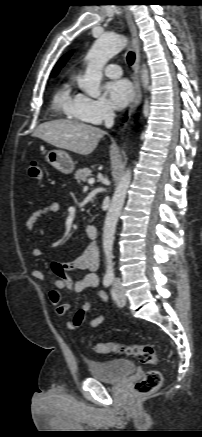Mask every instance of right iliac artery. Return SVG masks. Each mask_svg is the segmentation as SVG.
Here are the masks:
<instances>
[{"label": "right iliac artery", "instance_id": "obj_1", "mask_svg": "<svg viewBox=\"0 0 202 437\" xmlns=\"http://www.w3.org/2000/svg\"><path fill=\"white\" fill-rule=\"evenodd\" d=\"M111 283H112V278H111V277H105V278H104V280H103V285H104L105 287H109V286L111 285Z\"/></svg>", "mask_w": 202, "mask_h": 437}]
</instances>
